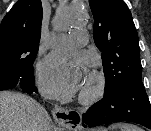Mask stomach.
Wrapping results in <instances>:
<instances>
[{
    "label": "stomach",
    "mask_w": 151,
    "mask_h": 131,
    "mask_svg": "<svg viewBox=\"0 0 151 131\" xmlns=\"http://www.w3.org/2000/svg\"><path fill=\"white\" fill-rule=\"evenodd\" d=\"M96 131H107V130L105 128L100 127Z\"/></svg>",
    "instance_id": "0dacf381"
}]
</instances>
